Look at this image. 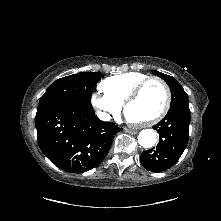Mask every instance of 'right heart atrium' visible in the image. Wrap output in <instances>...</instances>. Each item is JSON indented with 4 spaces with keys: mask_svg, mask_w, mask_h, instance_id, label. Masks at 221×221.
I'll use <instances>...</instances> for the list:
<instances>
[{
    "mask_svg": "<svg viewBox=\"0 0 221 221\" xmlns=\"http://www.w3.org/2000/svg\"><path fill=\"white\" fill-rule=\"evenodd\" d=\"M91 104L98 117L104 121H108L112 116L117 115L121 110L120 104L98 91L92 94Z\"/></svg>",
    "mask_w": 221,
    "mask_h": 221,
    "instance_id": "d8ad5b80",
    "label": "right heart atrium"
}]
</instances>
